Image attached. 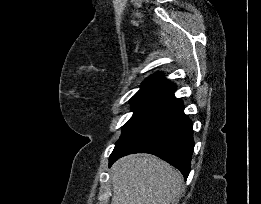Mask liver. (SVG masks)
I'll use <instances>...</instances> for the list:
<instances>
[{
    "label": "liver",
    "mask_w": 261,
    "mask_h": 204,
    "mask_svg": "<svg viewBox=\"0 0 261 204\" xmlns=\"http://www.w3.org/2000/svg\"><path fill=\"white\" fill-rule=\"evenodd\" d=\"M111 204H174L181 192L179 171L153 155H129L111 169Z\"/></svg>",
    "instance_id": "obj_1"
}]
</instances>
